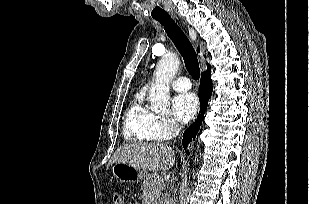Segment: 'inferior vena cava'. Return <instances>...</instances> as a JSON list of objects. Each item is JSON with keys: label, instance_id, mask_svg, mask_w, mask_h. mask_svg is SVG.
I'll use <instances>...</instances> for the list:
<instances>
[{"label": "inferior vena cava", "instance_id": "602c4592", "mask_svg": "<svg viewBox=\"0 0 309 204\" xmlns=\"http://www.w3.org/2000/svg\"><path fill=\"white\" fill-rule=\"evenodd\" d=\"M181 130V125L180 124H176L175 125V134L177 135ZM170 204H175V203H170Z\"/></svg>", "mask_w": 309, "mask_h": 204}]
</instances>
